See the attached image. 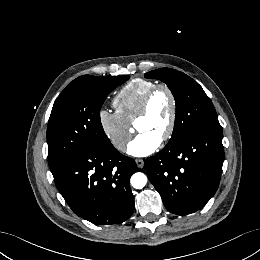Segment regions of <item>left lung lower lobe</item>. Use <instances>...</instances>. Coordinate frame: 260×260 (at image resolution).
<instances>
[{"mask_svg":"<svg viewBox=\"0 0 260 260\" xmlns=\"http://www.w3.org/2000/svg\"><path fill=\"white\" fill-rule=\"evenodd\" d=\"M222 138L220 125L203 127L146 159L148 178L167 210L191 214L215 194L224 160Z\"/></svg>","mask_w":260,"mask_h":260,"instance_id":"left-lung-lower-lobe-1","label":"left lung lower lobe"}]
</instances>
